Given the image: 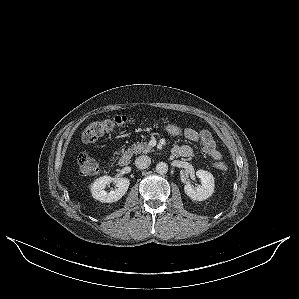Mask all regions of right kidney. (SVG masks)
Returning a JSON list of instances; mask_svg holds the SVG:
<instances>
[{
  "instance_id": "ca27d5eb",
  "label": "right kidney",
  "mask_w": 299,
  "mask_h": 299,
  "mask_svg": "<svg viewBox=\"0 0 299 299\" xmlns=\"http://www.w3.org/2000/svg\"><path fill=\"white\" fill-rule=\"evenodd\" d=\"M111 182L116 184V189L110 192H106L105 188ZM130 185V181L127 178L117 177L112 178L110 176H102L96 179L91 186V193L94 199L103 203L116 202L124 196Z\"/></svg>"
}]
</instances>
